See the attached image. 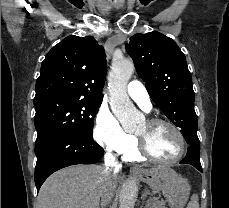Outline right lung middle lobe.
<instances>
[{
    "label": "right lung middle lobe",
    "mask_w": 229,
    "mask_h": 208,
    "mask_svg": "<svg viewBox=\"0 0 229 208\" xmlns=\"http://www.w3.org/2000/svg\"><path fill=\"white\" fill-rule=\"evenodd\" d=\"M36 144L62 131H74L93 137V119L101 102L71 96H49L34 101Z\"/></svg>",
    "instance_id": "1"
}]
</instances>
